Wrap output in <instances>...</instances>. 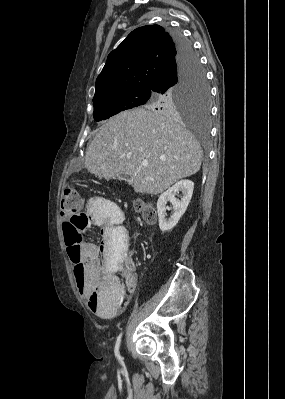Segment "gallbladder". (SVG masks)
I'll return each instance as SVG.
<instances>
[{
  "label": "gallbladder",
  "mask_w": 285,
  "mask_h": 399,
  "mask_svg": "<svg viewBox=\"0 0 285 399\" xmlns=\"http://www.w3.org/2000/svg\"><path fill=\"white\" fill-rule=\"evenodd\" d=\"M114 179L129 181V177L124 173H120V174L116 175L114 177Z\"/></svg>",
  "instance_id": "bac80fb5"
}]
</instances>
